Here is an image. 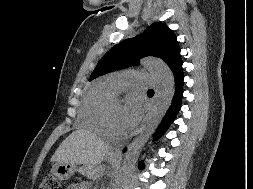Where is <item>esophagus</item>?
Returning a JSON list of instances; mask_svg holds the SVG:
<instances>
[{
    "instance_id": "esophagus-1",
    "label": "esophagus",
    "mask_w": 253,
    "mask_h": 189,
    "mask_svg": "<svg viewBox=\"0 0 253 189\" xmlns=\"http://www.w3.org/2000/svg\"><path fill=\"white\" fill-rule=\"evenodd\" d=\"M113 154L119 155V154H121V153H120V151H119L118 149H115V150L113 151Z\"/></svg>"
}]
</instances>
